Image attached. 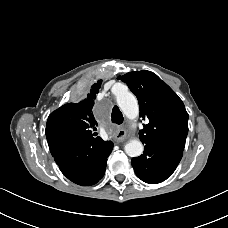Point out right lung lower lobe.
<instances>
[{"label":"right lung lower lobe","mask_w":228,"mask_h":228,"mask_svg":"<svg viewBox=\"0 0 228 228\" xmlns=\"http://www.w3.org/2000/svg\"><path fill=\"white\" fill-rule=\"evenodd\" d=\"M61 172L72 182L89 186L105 173L113 143L102 139H78L49 146Z\"/></svg>","instance_id":"obj_1"}]
</instances>
